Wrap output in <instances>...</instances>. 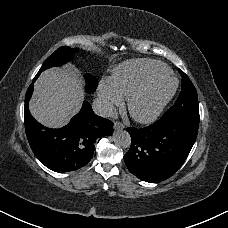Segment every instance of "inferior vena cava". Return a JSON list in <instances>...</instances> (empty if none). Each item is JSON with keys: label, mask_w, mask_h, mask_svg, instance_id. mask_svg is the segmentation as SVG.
I'll return each mask as SVG.
<instances>
[{"label": "inferior vena cava", "mask_w": 228, "mask_h": 228, "mask_svg": "<svg viewBox=\"0 0 228 228\" xmlns=\"http://www.w3.org/2000/svg\"><path fill=\"white\" fill-rule=\"evenodd\" d=\"M95 114L101 117H109L115 110L114 105L104 97H98L92 104Z\"/></svg>", "instance_id": "602c4592"}]
</instances>
